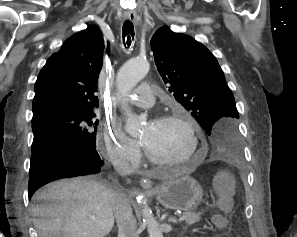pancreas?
<instances>
[{
    "label": "pancreas",
    "instance_id": "pancreas-1",
    "mask_svg": "<svg viewBox=\"0 0 297 237\" xmlns=\"http://www.w3.org/2000/svg\"><path fill=\"white\" fill-rule=\"evenodd\" d=\"M202 213L201 212H198V213H195V212H185L183 214V216L185 217V222L186 224L188 225H192V224H195L196 222H199L200 221V215Z\"/></svg>",
    "mask_w": 297,
    "mask_h": 237
}]
</instances>
